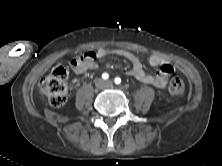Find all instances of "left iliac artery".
Wrapping results in <instances>:
<instances>
[{
  "label": "left iliac artery",
  "mask_w": 222,
  "mask_h": 166,
  "mask_svg": "<svg viewBox=\"0 0 222 166\" xmlns=\"http://www.w3.org/2000/svg\"><path fill=\"white\" fill-rule=\"evenodd\" d=\"M114 82H115L116 84H120V83H121V79H120L119 77H116V78L114 79Z\"/></svg>",
  "instance_id": "obj_1"
}]
</instances>
